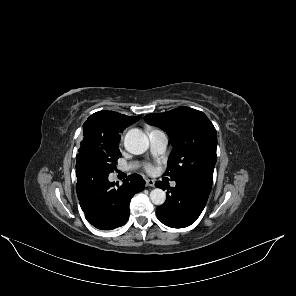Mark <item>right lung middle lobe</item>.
<instances>
[{
    "label": "right lung middle lobe",
    "mask_w": 296,
    "mask_h": 296,
    "mask_svg": "<svg viewBox=\"0 0 296 296\" xmlns=\"http://www.w3.org/2000/svg\"><path fill=\"white\" fill-rule=\"evenodd\" d=\"M120 136L102 140L96 138L83 139L79 154L95 159L105 172L111 173L116 168L117 160L121 157L119 151Z\"/></svg>",
    "instance_id": "1"
}]
</instances>
